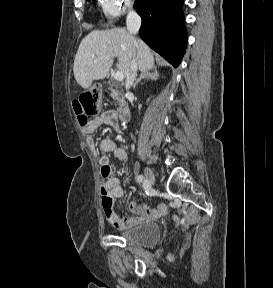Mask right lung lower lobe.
<instances>
[{
  "mask_svg": "<svg viewBox=\"0 0 273 288\" xmlns=\"http://www.w3.org/2000/svg\"><path fill=\"white\" fill-rule=\"evenodd\" d=\"M182 3L183 0H136L134 4L142 18L140 37L174 67L180 64L187 44Z\"/></svg>",
  "mask_w": 273,
  "mask_h": 288,
  "instance_id": "obj_1",
  "label": "right lung lower lobe"
}]
</instances>
